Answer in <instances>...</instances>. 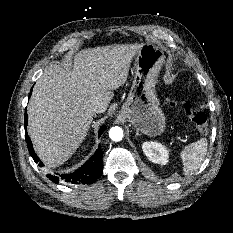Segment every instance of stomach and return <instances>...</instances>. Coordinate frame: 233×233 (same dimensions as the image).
<instances>
[{
	"label": "stomach",
	"mask_w": 233,
	"mask_h": 233,
	"mask_svg": "<svg viewBox=\"0 0 233 233\" xmlns=\"http://www.w3.org/2000/svg\"><path fill=\"white\" fill-rule=\"evenodd\" d=\"M165 60L161 47L145 43L136 53L135 76L120 115L137 131L154 137L165 131L166 117L155 91L158 73Z\"/></svg>",
	"instance_id": "obj_1"
}]
</instances>
